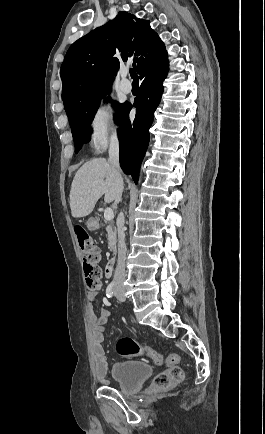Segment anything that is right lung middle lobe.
I'll list each match as a JSON object with an SVG mask.
<instances>
[{"instance_id": "right-lung-middle-lobe-1", "label": "right lung middle lobe", "mask_w": 265, "mask_h": 434, "mask_svg": "<svg viewBox=\"0 0 265 434\" xmlns=\"http://www.w3.org/2000/svg\"><path fill=\"white\" fill-rule=\"evenodd\" d=\"M111 92V87L105 89L97 90L93 93L85 95L76 100H72L64 103L66 113L68 115L69 123L72 130V135L76 147V152H78L79 147L83 143H87L90 140V124L94 118V114L98 109L101 98L105 94ZM110 99V97L108 98ZM128 106V102L124 104L115 103L117 112V122L121 123L125 110Z\"/></svg>"}]
</instances>
